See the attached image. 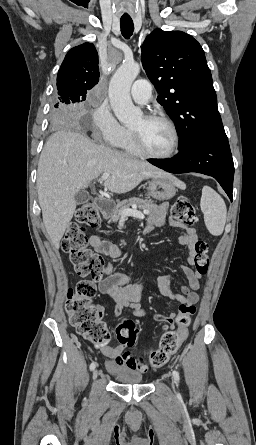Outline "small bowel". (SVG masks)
Returning <instances> with one entry per match:
<instances>
[{
	"instance_id": "small-bowel-1",
	"label": "small bowel",
	"mask_w": 256,
	"mask_h": 445,
	"mask_svg": "<svg viewBox=\"0 0 256 445\" xmlns=\"http://www.w3.org/2000/svg\"><path fill=\"white\" fill-rule=\"evenodd\" d=\"M168 203H161L151 214L147 230L154 227L162 226L165 222ZM185 233L179 237V243L185 245L189 249L188 263L194 264L195 244L198 240L196 230L193 227L185 226ZM89 245L98 253L108 255L112 258H121V250L113 243L103 240L98 234L89 237ZM187 277V285L181 286V294L175 293L170 288V275L162 274L157 283V289L161 296L179 303L178 314L181 308L194 305L199 300L197 290L200 288V280L202 273L192 270L188 266L182 267ZM148 285L146 284H130V277L121 272L116 271L112 263H108L103 269V279L99 283V290L102 294L108 295L115 302L114 313L120 315L124 310H128L134 315L145 318L146 311L141 307L139 301L143 297ZM102 309V316H103ZM177 313H171L167 316L155 314L157 321L163 322V330L169 331L175 327ZM188 336V329H184V339ZM97 348L108 358L113 359L109 363L110 368H120L128 371H138L144 373L147 370L146 356L147 354L135 355L125 351L124 345L110 346L99 345Z\"/></svg>"
}]
</instances>
